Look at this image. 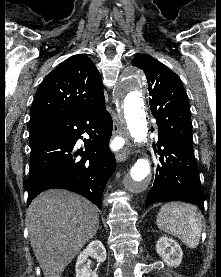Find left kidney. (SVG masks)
<instances>
[{
	"instance_id": "left-kidney-1",
	"label": "left kidney",
	"mask_w": 221,
	"mask_h": 277,
	"mask_svg": "<svg viewBox=\"0 0 221 277\" xmlns=\"http://www.w3.org/2000/svg\"><path fill=\"white\" fill-rule=\"evenodd\" d=\"M156 251L168 266L178 267L182 262V249L172 238L160 237L156 243Z\"/></svg>"
}]
</instances>
